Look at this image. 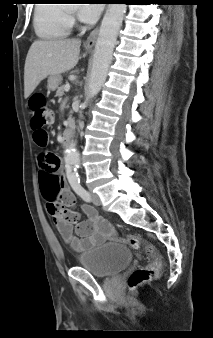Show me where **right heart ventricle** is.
<instances>
[{"mask_svg": "<svg viewBox=\"0 0 213 338\" xmlns=\"http://www.w3.org/2000/svg\"><path fill=\"white\" fill-rule=\"evenodd\" d=\"M34 29L38 37L58 40L69 34V23L64 7L57 4H36Z\"/></svg>", "mask_w": 213, "mask_h": 338, "instance_id": "obj_1", "label": "right heart ventricle"}]
</instances>
